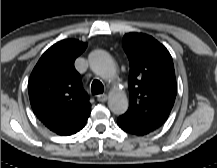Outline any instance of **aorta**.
<instances>
[{"label":"aorta","instance_id":"1","mask_svg":"<svg viewBox=\"0 0 217 168\" xmlns=\"http://www.w3.org/2000/svg\"><path fill=\"white\" fill-rule=\"evenodd\" d=\"M91 70L103 79L110 80L116 75V66L111 56L103 50H94L88 57ZM108 107L116 115L128 109V99L122 90L112 89L108 97Z\"/></svg>","mask_w":217,"mask_h":168}]
</instances>
